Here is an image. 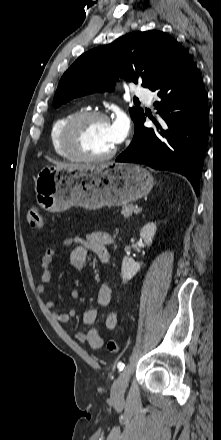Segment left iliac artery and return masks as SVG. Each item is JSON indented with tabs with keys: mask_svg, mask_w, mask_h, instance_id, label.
<instances>
[{
	"mask_svg": "<svg viewBox=\"0 0 221 440\" xmlns=\"http://www.w3.org/2000/svg\"><path fill=\"white\" fill-rule=\"evenodd\" d=\"M117 367H118V369H119L120 371H122V370L125 368V364L122 363V362H119L118 365H117Z\"/></svg>",
	"mask_w": 221,
	"mask_h": 440,
	"instance_id": "1",
	"label": "left iliac artery"
}]
</instances>
